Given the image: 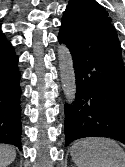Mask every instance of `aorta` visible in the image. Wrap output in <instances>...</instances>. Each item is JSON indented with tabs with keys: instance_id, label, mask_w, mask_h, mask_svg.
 I'll use <instances>...</instances> for the list:
<instances>
[{
	"instance_id": "obj_1",
	"label": "aorta",
	"mask_w": 125,
	"mask_h": 167,
	"mask_svg": "<svg viewBox=\"0 0 125 167\" xmlns=\"http://www.w3.org/2000/svg\"><path fill=\"white\" fill-rule=\"evenodd\" d=\"M59 70L62 89L69 103L74 102L76 94V80L73 60L68 47L61 44L58 49Z\"/></svg>"
}]
</instances>
